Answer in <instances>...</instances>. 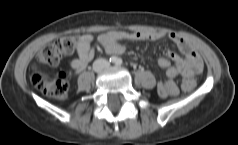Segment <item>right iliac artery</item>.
<instances>
[{
    "instance_id": "1",
    "label": "right iliac artery",
    "mask_w": 238,
    "mask_h": 145,
    "mask_svg": "<svg viewBox=\"0 0 238 145\" xmlns=\"http://www.w3.org/2000/svg\"><path fill=\"white\" fill-rule=\"evenodd\" d=\"M109 62L110 63H116L117 62V58L115 56H112V57H110Z\"/></svg>"
}]
</instances>
